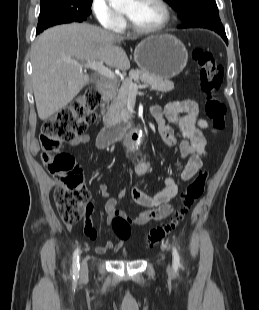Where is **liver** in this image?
Wrapping results in <instances>:
<instances>
[{
    "mask_svg": "<svg viewBox=\"0 0 259 310\" xmlns=\"http://www.w3.org/2000/svg\"><path fill=\"white\" fill-rule=\"evenodd\" d=\"M124 38L86 23L58 25L44 31L32 48V83L38 116L47 120L65 108L89 83V75L72 62H104L130 68Z\"/></svg>",
    "mask_w": 259,
    "mask_h": 310,
    "instance_id": "6515ba94",
    "label": "liver"
}]
</instances>
